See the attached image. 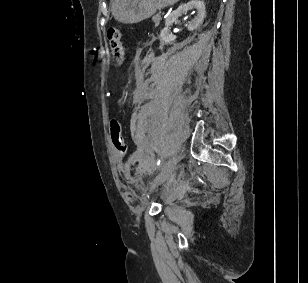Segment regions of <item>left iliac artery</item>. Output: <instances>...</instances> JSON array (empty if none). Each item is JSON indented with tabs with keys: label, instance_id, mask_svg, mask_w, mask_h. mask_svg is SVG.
<instances>
[{
	"label": "left iliac artery",
	"instance_id": "left-iliac-artery-1",
	"mask_svg": "<svg viewBox=\"0 0 308 283\" xmlns=\"http://www.w3.org/2000/svg\"><path fill=\"white\" fill-rule=\"evenodd\" d=\"M160 163H161V160L159 159V160L157 161V166H159Z\"/></svg>",
	"mask_w": 308,
	"mask_h": 283
}]
</instances>
